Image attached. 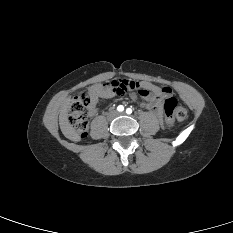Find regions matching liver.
<instances>
[{
    "label": "liver",
    "mask_w": 233,
    "mask_h": 233,
    "mask_svg": "<svg viewBox=\"0 0 233 233\" xmlns=\"http://www.w3.org/2000/svg\"><path fill=\"white\" fill-rule=\"evenodd\" d=\"M71 99L65 98L60 105V113H59V125L62 133L65 136H69L72 133V127L68 121V110L70 107Z\"/></svg>",
    "instance_id": "1"
}]
</instances>
